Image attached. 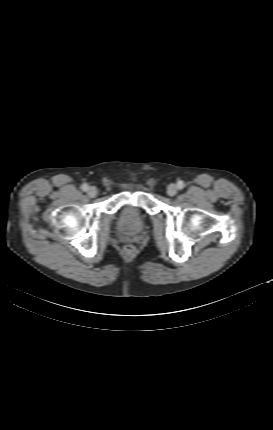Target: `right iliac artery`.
Returning <instances> with one entry per match:
<instances>
[{
	"label": "right iliac artery",
	"instance_id": "obj_1",
	"mask_svg": "<svg viewBox=\"0 0 273 430\" xmlns=\"http://www.w3.org/2000/svg\"><path fill=\"white\" fill-rule=\"evenodd\" d=\"M81 189H82L83 191H88L89 186H88L86 183H84V184L81 186Z\"/></svg>",
	"mask_w": 273,
	"mask_h": 430
}]
</instances>
